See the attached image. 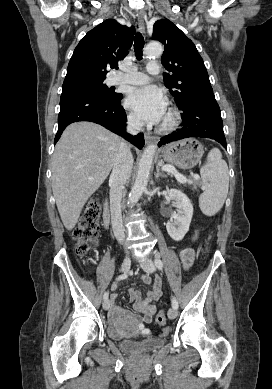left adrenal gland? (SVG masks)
<instances>
[{"label":"left adrenal gland","mask_w":272,"mask_h":389,"mask_svg":"<svg viewBox=\"0 0 272 389\" xmlns=\"http://www.w3.org/2000/svg\"><path fill=\"white\" fill-rule=\"evenodd\" d=\"M159 177H167L164 173L160 171V168H156L155 178L158 179Z\"/></svg>","instance_id":"obj_1"}]
</instances>
